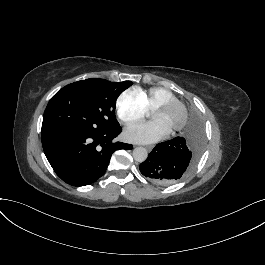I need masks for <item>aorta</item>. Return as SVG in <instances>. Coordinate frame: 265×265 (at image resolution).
<instances>
[{
  "label": "aorta",
  "mask_w": 265,
  "mask_h": 265,
  "mask_svg": "<svg viewBox=\"0 0 265 265\" xmlns=\"http://www.w3.org/2000/svg\"><path fill=\"white\" fill-rule=\"evenodd\" d=\"M148 157V152L144 147H136L133 150V158L137 162H144Z\"/></svg>",
  "instance_id": "762f6f07"
}]
</instances>
